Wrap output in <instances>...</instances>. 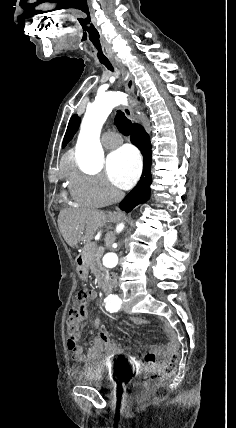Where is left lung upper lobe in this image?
I'll return each mask as SVG.
<instances>
[{
  "label": "left lung upper lobe",
  "instance_id": "5c2ea615",
  "mask_svg": "<svg viewBox=\"0 0 236 428\" xmlns=\"http://www.w3.org/2000/svg\"><path fill=\"white\" fill-rule=\"evenodd\" d=\"M80 124V118L77 115H73L69 121L67 131L64 136V140L62 143V147L64 148L66 144L72 139L74 134L76 133L78 126Z\"/></svg>",
  "mask_w": 236,
  "mask_h": 428
}]
</instances>
